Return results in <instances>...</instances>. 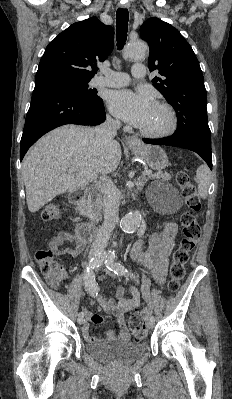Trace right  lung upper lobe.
I'll use <instances>...</instances> for the list:
<instances>
[{
    "instance_id": "obj_1",
    "label": "right lung upper lobe",
    "mask_w": 232,
    "mask_h": 399,
    "mask_svg": "<svg viewBox=\"0 0 232 399\" xmlns=\"http://www.w3.org/2000/svg\"><path fill=\"white\" fill-rule=\"evenodd\" d=\"M114 47V30L96 17L77 22L61 32L40 60L35 82L59 78L89 79Z\"/></svg>"
}]
</instances>
